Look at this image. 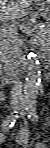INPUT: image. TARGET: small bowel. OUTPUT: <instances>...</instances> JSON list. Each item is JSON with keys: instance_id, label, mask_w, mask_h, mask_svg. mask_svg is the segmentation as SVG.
I'll return each instance as SVG.
<instances>
[{"instance_id": "small-bowel-1", "label": "small bowel", "mask_w": 50, "mask_h": 148, "mask_svg": "<svg viewBox=\"0 0 50 148\" xmlns=\"http://www.w3.org/2000/svg\"><path fill=\"white\" fill-rule=\"evenodd\" d=\"M28 137H29V133L26 130L19 131V133L17 135L18 144L21 146H26V144L28 142ZM36 147L37 148H46L47 146L45 145V143L40 142L37 144Z\"/></svg>"}]
</instances>
